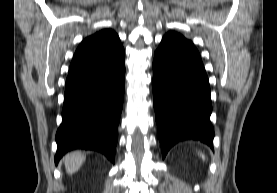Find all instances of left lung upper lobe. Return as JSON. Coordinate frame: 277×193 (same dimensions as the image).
Segmentation results:
<instances>
[{"instance_id":"5c2ea615","label":"left lung upper lobe","mask_w":277,"mask_h":193,"mask_svg":"<svg viewBox=\"0 0 277 193\" xmlns=\"http://www.w3.org/2000/svg\"><path fill=\"white\" fill-rule=\"evenodd\" d=\"M167 35H178V36H180V37H183L182 35H180V34L174 32V31L168 32ZM183 38H184V37H183Z\"/></svg>"}]
</instances>
